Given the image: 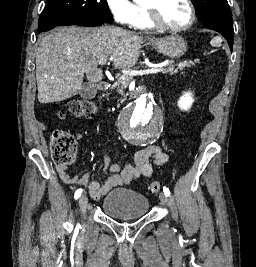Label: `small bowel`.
<instances>
[{
	"mask_svg": "<svg viewBox=\"0 0 256 267\" xmlns=\"http://www.w3.org/2000/svg\"><path fill=\"white\" fill-rule=\"evenodd\" d=\"M77 140L82 141L83 137L78 134ZM169 160V155L163 151L158 144H149L138 149L133 156L132 163L120 165L111 163L109 155L104 156L106 180L100 183L97 180H90L88 172H81L71 175L66 165L58 164L56 169L60 179L67 185H78L87 187L90 196L98 200L112 189L134 182L140 177L150 178L153 175V164L162 166Z\"/></svg>",
	"mask_w": 256,
	"mask_h": 267,
	"instance_id": "obj_1",
	"label": "small bowel"
}]
</instances>
